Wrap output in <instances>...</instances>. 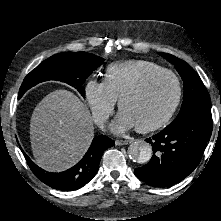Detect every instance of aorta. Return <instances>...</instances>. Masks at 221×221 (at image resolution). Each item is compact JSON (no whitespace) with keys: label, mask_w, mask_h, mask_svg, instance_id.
<instances>
[{"label":"aorta","mask_w":221,"mask_h":221,"mask_svg":"<svg viewBox=\"0 0 221 221\" xmlns=\"http://www.w3.org/2000/svg\"><path fill=\"white\" fill-rule=\"evenodd\" d=\"M152 153L151 145L145 141L132 142L128 147V156L135 163H147L151 159Z\"/></svg>","instance_id":"1"}]
</instances>
